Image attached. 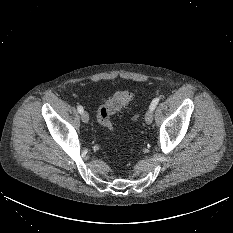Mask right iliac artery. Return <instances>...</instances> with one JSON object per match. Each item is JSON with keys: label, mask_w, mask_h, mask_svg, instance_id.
<instances>
[{"label": "right iliac artery", "mask_w": 233, "mask_h": 233, "mask_svg": "<svg viewBox=\"0 0 233 233\" xmlns=\"http://www.w3.org/2000/svg\"><path fill=\"white\" fill-rule=\"evenodd\" d=\"M77 109L80 114H82L84 111L82 106H78Z\"/></svg>", "instance_id": "1"}]
</instances>
